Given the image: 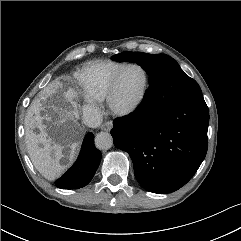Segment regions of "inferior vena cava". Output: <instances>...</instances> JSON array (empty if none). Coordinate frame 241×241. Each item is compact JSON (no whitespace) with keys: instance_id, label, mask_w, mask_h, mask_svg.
Here are the masks:
<instances>
[{"instance_id":"1","label":"inferior vena cava","mask_w":241,"mask_h":241,"mask_svg":"<svg viewBox=\"0 0 241 241\" xmlns=\"http://www.w3.org/2000/svg\"><path fill=\"white\" fill-rule=\"evenodd\" d=\"M83 121L89 127H94L100 124V122L102 121V117L94 106H86L84 108Z\"/></svg>"}]
</instances>
